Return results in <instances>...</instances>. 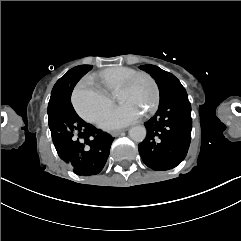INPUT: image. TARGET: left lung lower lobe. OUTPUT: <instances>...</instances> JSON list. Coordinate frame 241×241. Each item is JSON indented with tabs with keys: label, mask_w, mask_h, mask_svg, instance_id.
Returning a JSON list of instances; mask_svg holds the SVG:
<instances>
[{
	"label": "left lung lower lobe",
	"mask_w": 241,
	"mask_h": 241,
	"mask_svg": "<svg viewBox=\"0 0 241 241\" xmlns=\"http://www.w3.org/2000/svg\"><path fill=\"white\" fill-rule=\"evenodd\" d=\"M146 139L139 145L143 162L154 170H169L185 158L191 141V104L186 90L160 100L159 109L145 123Z\"/></svg>",
	"instance_id": "obj_1"
}]
</instances>
